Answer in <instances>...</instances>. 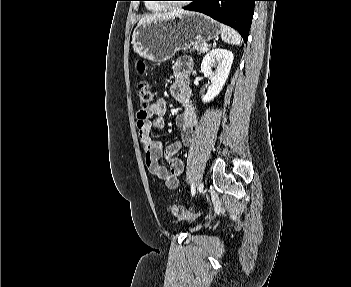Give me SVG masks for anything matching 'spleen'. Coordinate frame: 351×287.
Segmentation results:
<instances>
[{"label":"spleen","instance_id":"3e777b00","mask_svg":"<svg viewBox=\"0 0 351 287\" xmlns=\"http://www.w3.org/2000/svg\"><path fill=\"white\" fill-rule=\"evenodd\" d=\"M221 38L225 43L232 45H240L242 43L239 33L226 25H221Z\"/></svg>","mask_w":351,"mask_h":287}]
</instances>
